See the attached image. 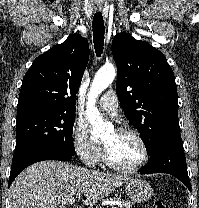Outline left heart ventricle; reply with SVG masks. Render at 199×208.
Here are the masks:
<instances>
[{
	"label": "left heart ventricle",
	"mask_w": 199,
	"mask_h": 208,
	"mask_svg": "<svg viewBox=\"0 0 199 208\" xmlns=\"http://www.w3.org/2000/svg\"><path fill=\"white\" fill-rule=\"evenodd\" d=\"M105 146L114 161L125 166H132L142 158V148L131 135L110 131L103 139Z\"/></svg>",
	"instance_id": "b2bd125f"
}]
</instances>
